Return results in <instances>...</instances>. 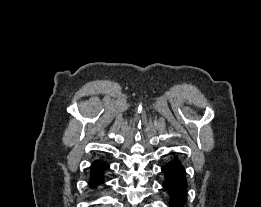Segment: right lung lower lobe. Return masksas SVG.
Returning a JSON list of instances; mask_svg holds the SVG:
<instances>
[{
  "label": "right lung lower lobe",
  "mask_w": 261,
  "mask_h": 207,
  "mask_svg": "<svg viewBox=\"0 0 261 207\" xmlns=\"http://www.w3.org/2000/svg\"><path fill=\"white\" fill-rule=\"evenodd\" d=\"M89 187L95 188L104 183V172L109 169V165L101 160H96L90 167Z\"/></svg>",
  "instance_id": "1"
}]
</instances>
